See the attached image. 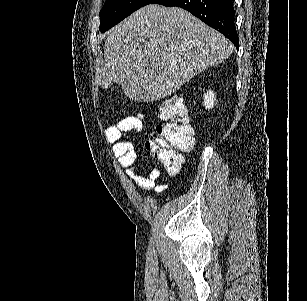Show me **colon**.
<instances>
[{"mask_svg": "<svg viewBox=\"0 0 307 301\" xmlns=\"http://www.w3.org/2000/svg\"><path fill=\"white\" fill-rule=\"evenodd\" d=\"M157 114L164 123L156 127L155 136L146 142V147L168 173L174 174L182 165L180 152L190 150L194 145V132L188 122L186 106L177 96L162 100Z\"/></svg>", "mask_w": 307, "mask_h": 301, "instance_id": "1", "label": "colon"}]
</instances>
